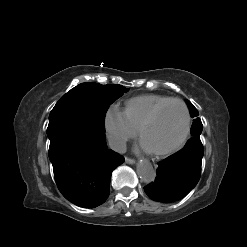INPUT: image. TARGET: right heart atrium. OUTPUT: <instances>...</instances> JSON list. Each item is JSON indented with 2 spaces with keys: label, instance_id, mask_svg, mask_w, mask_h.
Listing matches in <instances>:
<instances>
[{
  "label": "right heart atrium",
  "instance_id": "1",
  "mask_svg": "<svg viewBox=\"0 0 247 247\" xmlns=\"http://www.w3.org/2000/svg\"><path fill=\"white\" fill-rule=\"evenodd\" d=\"M104 126L108 140L116 151H122L127 142L137 134V131L127 122L123 111L115 106L106 111Z\"/></svg>",
  "mask_w": 247,
  "mask_h": 247
}]
</instances>
